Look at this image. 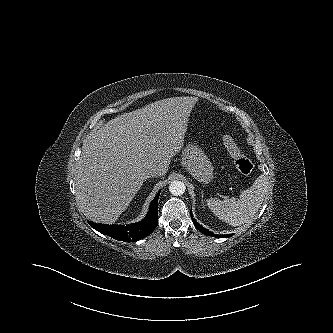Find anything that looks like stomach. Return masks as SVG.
<instances>
[{
  "label": "stomach",
  "mask_w": 333,
  "mask_h": 333,
  "mask_svg": "<svg viewBox=\"0 0 333 333\" xmlns=\"http://www.w3.org/2000/svg\"><path fill=\"white\" fill-rule=\"evenodd\" d=\"M182 165L200 183L208 184L213 179V166L196 142H188L184 148Z\"/></svg>",
  "instance_id": "0dacf381"
}]
</instances>
